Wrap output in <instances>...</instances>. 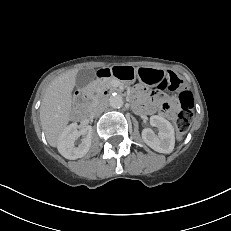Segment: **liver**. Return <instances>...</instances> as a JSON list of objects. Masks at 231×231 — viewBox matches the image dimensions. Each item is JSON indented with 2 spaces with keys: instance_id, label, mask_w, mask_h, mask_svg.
<instances>
[{
  "instance_id": "obj_1",
  "label": "liver",
  "mask_w": 231,
  "mask_h": 231,
  "mask_svg": "<svg viewBox=\"0 0 231 231\" xmlns=\"http://www.w3.org/2000/svg\"><path fill=\"white\" fill-rule=\"evenodd\" d=\"M77 73V69H72L55 78L42 97L40 124L52 147L58 146L59 137L72 118V91Z\"/></svg>"
}]
</instances>
